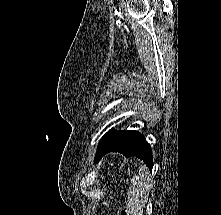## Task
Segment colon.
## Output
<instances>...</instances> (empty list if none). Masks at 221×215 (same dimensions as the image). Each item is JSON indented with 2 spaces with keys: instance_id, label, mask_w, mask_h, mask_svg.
I'll use <instances>...</instances> for the list:
<instances>
[{
  "instance_id": "obj_1",
  "label": "colon",
  "mask_w": 221,
  "mask_h": 215,
  "mask_svg": "<svg viewBox=\"0 0 221 215\" xmlns=\"http://www.w3.org/2000/svg\"><path fill=\"white\" fill-rule=\"evenodd\" d=\"M117 215H127V213L124 209H120Z\"/></svg>"
}]
</instances>
